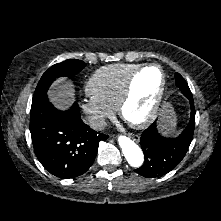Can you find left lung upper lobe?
I'll return each mask as SVG.
<instances>
[{"instance_id": "left-lung-upper-lobe-1", "label": "left lung upper lobe", "mask_w": 221, "mask_h": 221, "mask_svg": "<svg viewBox=\"0 0 221 221\" xmlns=\"http://www.w3.org/2000/svg\"><path fill=\"white\" fill-rule=\"evenodd\" d=\"M175 83H176V86L179 87L183 91V94L187 98L192 97V93L188 87L187 82L184 80V78L179 73H176Z\"/></svg>"}]
</instances>
